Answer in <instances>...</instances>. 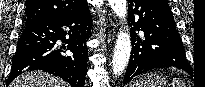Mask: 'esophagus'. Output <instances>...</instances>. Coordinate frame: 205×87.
I'll use <instances>...</instances> for the list:
<instances>
[{"mask_svg":"<svg viewBox=\"0 0 205 87\" xmlns=\"http://www.w3.org/2000/svg\"><path fill=\"white\" fill-rule=\"evenodd\" d=\"M114 40V33L107 34V42L110 43Z\"/></svg>","mask_w":205,"mask_h":87,"instance_id":"obj_1","label":"esophagus"}]
</instances>
